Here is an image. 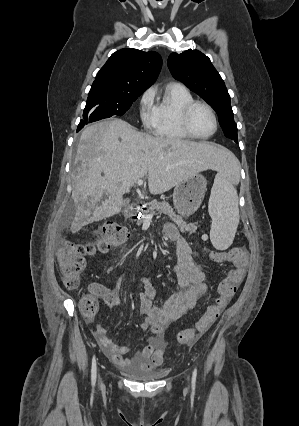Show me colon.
<instances>
[{"label": "colon", "instance_id": "1", "mask_svg": "<svg viewBox=\"0 0 299 426\" xmlns=\"http://www.w3.org/2000/svg\"><path fill=\"white\" fill-rule=\"evenodd\" d=\"M127 238V231L114 222L103 224L97 232L94 241L74 243L65 241L58 250L59 269L64 285L69 290H75L81 283V276L86 266V257L95 253L109 251L122 244ZM211 259L216 263L231 262L230 269L217 287V299L204 315L191 328L178 333L177 340L183 344L194 342L202 333L207 331L217 320L222 309L227 306L242 283L248 264V251L245 247H235L226 251H213ZM99 300L95 293L84 295L80 300V309L86 317H93L98 312Z\"/></svg>", "mask_w": 299, "mask_h": 426}]
</instances>
